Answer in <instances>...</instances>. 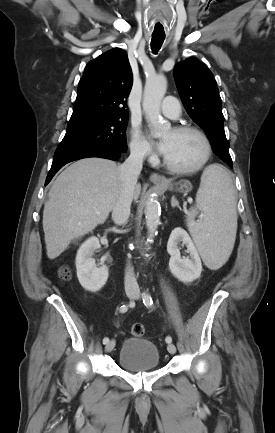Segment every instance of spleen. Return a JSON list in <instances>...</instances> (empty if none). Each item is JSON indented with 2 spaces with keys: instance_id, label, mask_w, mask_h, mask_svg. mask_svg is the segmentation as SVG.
Segmentation results:
<instances>
[{
  "instance_id": "obj_1",
  "label": "spleen",
  "mask_w": 275,
  "mask_h": 433,
  "mask_svg": "<svg viewBox=\"0 0 275 433\" xmlns=\"http://www.w3.org/2000/svg\"><path fill=\"white\" fill-rule=\"evenodd\" d=\"M198 210L201 219L195 221ZM187 227L208 268L216 270L226 263L235 243L237 213L232 179L223 166L213 164L204 170Z\"/></svg>"
}]
</instances>
